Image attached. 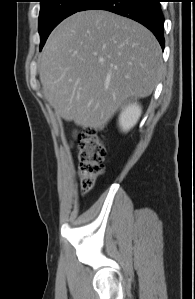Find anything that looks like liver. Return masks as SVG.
I'll list each match as a JSON object with an SVG mask.
<instances>
[{
    "label": "liver",
    "mask_w": 195,
    "mask_h": 299,
    "mask_svg": "<svg viewBox=\"0 0 195 299\" xmlns=\"http://www.w3.org/2000/svg\"><path fill=\"white\" fill-rule=\"evenodd\" d=\"M161 55L155 36L139 23L108 11H82L48 37L39 78L60 117L97 130L126 101L153 92Z\"/></svg>",
    "instance_id": "obj_1"
}]
</instances>
